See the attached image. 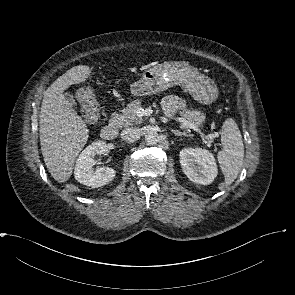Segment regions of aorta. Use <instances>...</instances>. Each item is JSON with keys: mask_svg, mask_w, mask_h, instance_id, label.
Here are the masks:
<instances>
[{"mask_svg": "<svg viewBox=\"0 0 295 295\" xmlns=\"http://www.w3.org/2000/svg\"><path fill=\"white\" fill-rule=\"evenodd\" d=\"M145 141L148 145H155L159 142V135L156 131H147L145 134Z\"/></svg>", "mask_w": 295, "mask_h": 295, "instance_id": "1", "label": "aorta"}]
</instances>
